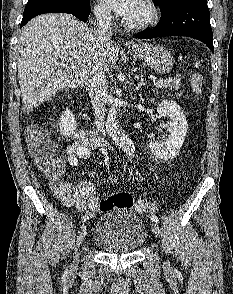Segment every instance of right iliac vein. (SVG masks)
<instances>
[{"label":"right iliac vein","mask_w":233,"mask_h":294,"mask_svg":"<svg viewBox=\"0 0 233 294\" xmlns=\"http://www.w3.org/2000/svg\"><path fill=\"white\" fill-rule=\"evenodd\" d=\"M87 234V227L85 224H82L80 226V229L78 231V236H77V246H79L85 239V236ZM77 259V258H76ZM73 268L77 267V261L75 260L73 262V265H72Z\"/></svg>","instance_id":"right-iliac-vein-1"}]
</instances>
